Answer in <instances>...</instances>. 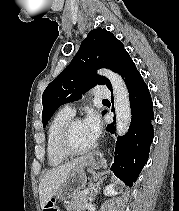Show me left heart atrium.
Instances as JSON below:
<instances>
[{
  "label": "left heart atrium",
  "mask_w": 179,
  "mask_h": 211,
  "mask_svg": "<svg viewBox=\"0 0 179 211\" xmlns=\"http://www.w3.org/2000/svg\"><path fill=\"white\" fill-rule=\"evenodd\" d=\"M86 131L90 138L95 142L102 130V122L100 117L95 112H90L83 120Z\"/></svg>",
  "instance_id": "obj_1"
}]
</instances>
